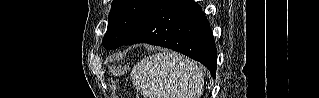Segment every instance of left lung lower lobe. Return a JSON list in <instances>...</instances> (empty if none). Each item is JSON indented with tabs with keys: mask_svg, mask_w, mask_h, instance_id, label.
Segmentation results:
<instances>
[{
	"mask_svg": "<svg viewBox=\"0 0 319 98\" xmlns=\"http://www.w3.org/2000/svg\"><path fill=\"white\" fill-rule=\"evenodd\" d=\"M135 43L181 52L204 64L215 78V42L201 6L192 0H157L125 45Z\"/></svg>",
	"mask_w": 319,
	"mask_h": 98,
	"instance_id": "1",
	"label": "left lung lower lobe"
}]
</instances>
